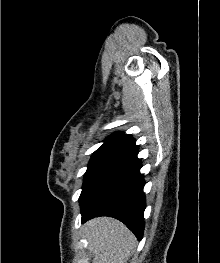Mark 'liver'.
Returning a JSON list of instances; mask_svg holds the SVG:
<instances>
[{"label": "liver", "mask_w": 220, "mask_h": 263, "mask_svg": "<svg viewBox=\"0 0 220 263\" xmlns=\"http://www.w3.org/2000/svg\"><path fill=\"white\" fill-rule=\"evenodd\" d=\"M88 249L92 263H127L136 238L120 221L110 217L94 218L86 223Z\"/></svg>", "instance_id": "6515ba94"}]
</instances>
